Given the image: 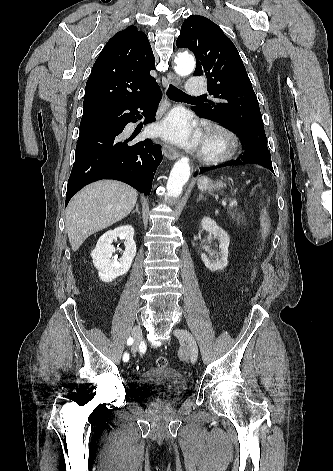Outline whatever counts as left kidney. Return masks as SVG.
<instances>
[{
	"mask_svg": "<svg viewBox=\"0 0 333 471\" xmlns=\"http://www.w3.org/2000/svg\"><path fill=\"white\" fill-rule=\"evenodd\" d=\"M201 228L212 233L214 238L218 239L220 248V259H217V261H211L204 253H202V261L210 271L223 270L228 264V248L230 243L228 234L209 217H204L202 219Z\"/></svg>",
	"mask_w": 333,
	"mask_h": 471,
	"instance_id": "obj_1",
	"label": "left kidney"
}]
</instances>
